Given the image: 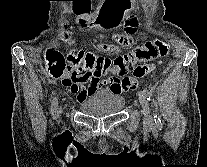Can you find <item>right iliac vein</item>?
<instances>
[{"instance_id":"right-iliac-vein-1","label":"right iliac vein","mask_w":207,"mask_h":167,"mask_svg":"<svg viewBox=\"0 0 207 167\" xmlns=\"http://www.w3.org/2000/svg\"><path fill=\"white\" fill-rule=\"evenodd\" d=\"M59 112L61 113L62 112V108L60 107V109H59Z\"/></svg>"}]
</instances>
